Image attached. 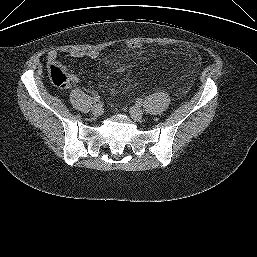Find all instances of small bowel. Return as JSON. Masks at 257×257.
<instances>
[{
    "instance_id": "1",
    "label": "small bowel",
    "mask_w": 257,
    "mask_h": 257,
    "mask_svg": "<svg viewBox=\"0 0 257 257\" xmlns=\"http://www.w3.org/2000/svg\"><path fill=\"white\" fill-rule=\"evenodd\" d=\"M66 52L69 56L74 57V58L96 59L99 56V52L95 51V50H88V51L69 50V51H66ZM58 54H59V50L49 51V53L47 55V62H48L49 65H53V64L57 63ZM108 63L110 65H112L113 68L118 72L125 71L127 68L130 67L127 64L116 63V62H113V61H108ZM69 82L72 83V84L76 83L77 82V77L74 74H70L69 75Z\"/></svg>"
}]
</instances>
